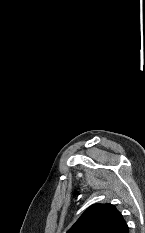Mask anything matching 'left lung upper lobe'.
<instances>
[{
    "instance_id": "obj_1",
    "label": "left lung upper lobe",
    "mask_w": 145,
    "mask_h": 233,
    "mask_svg": "<svg viewBox=\"0 0 145 233\" xmlns=\"http://www.w3.org/2000/svg\"><path fill=\"white\" fill-rule=\"evenodd\" d=\"M67 233H129L122 214L112 204L88 207Z\"/></svg>"
}]
</instances>
